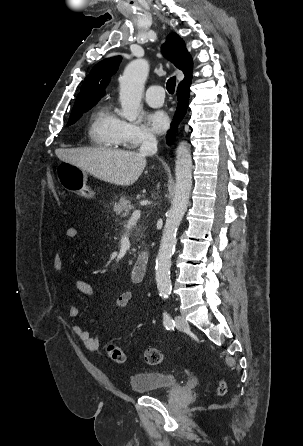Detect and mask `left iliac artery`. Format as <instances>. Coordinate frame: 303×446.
Segmentation results:
<instances>
[{"mask_svg": "<svg viewBox=\"0 0 303 446\" xmlns=\"http://www.w3.org/2000/svg\"><path fill=\"white\" fill-rule=\"evenodd\" d=\"M163 323L167 330H171L175 326L174 320L171 318V316L167 312L163 313Z\"/></svg>", "mask_w": 303, "mask_h": 446, "instance_id": "left-iliac-artery-1", "label": "left iliac artery"}]
</instances>
